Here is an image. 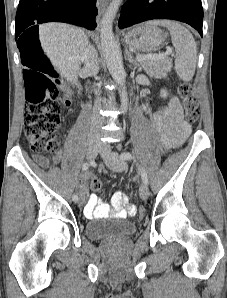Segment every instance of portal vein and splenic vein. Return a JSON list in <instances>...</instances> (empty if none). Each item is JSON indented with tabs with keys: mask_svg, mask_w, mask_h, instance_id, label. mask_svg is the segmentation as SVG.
Here are the masks:
<instances>
[{
	"mask_svg": "<svg viewBox=\"0 0 227 298\" xmlns=\"http://www.w3.org/2000/svg\"><path fill=\"white\" fill-rule=\"evenodd\" d=\"M172 53V49L171 48H167V50L163 53L160 54H155V55H139L136 57L137 61L142 62L145 60H158L161 59L163 57H166L168 55H170Z\"/></svg>",
	"mask_w": 227,
	"mask_h": 298,
	"instance_id": "1",
	"label": "portal vein and splenic vein"
}]
</instances>
